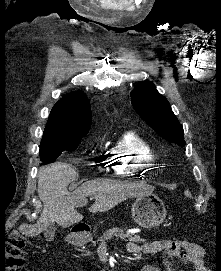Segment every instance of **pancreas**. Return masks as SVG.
Returning <instances> with one entry per match:
<instances>
[{
  "mask_svg": "<svg viewBox=\"0 0 221 271\" xmlns=\"http://www.w3.org/2000/svg\"><path fill=\"white\" fill-rule=\"evenodd\" d=\"M116 235V237H114ZM128 233H125L123 229L119 227H112V229H106L101 237H96L95 240H88V245H98V242H140L144 243V237H127Z\"/></svg>",
  "mask_w": 221,
  "mask_h": 271,
  "instance_id": "cf45deb5",
  "label": "pancreas"
}]
</instances>
